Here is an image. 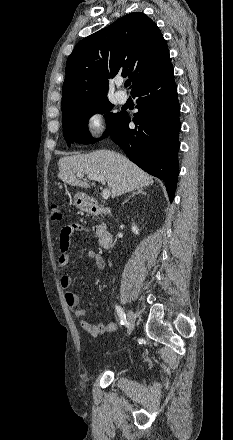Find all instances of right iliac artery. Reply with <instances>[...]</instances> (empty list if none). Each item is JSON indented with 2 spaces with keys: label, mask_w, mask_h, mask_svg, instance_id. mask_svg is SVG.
<instances>
[{
  "label": "right iliac artery",
  "mask_w": 233,
  "mask_h": 440,
  "mask_svg": "<svg viewBox=\"0 0 233 440\" xmlns=\"http://www.w3.org/2000/svg\"><path fill=\"white\" fill-rule=\"evenodd\" d=\"M116 311H117V314L120 318L121 324L124 325L126 323V315H125L123 309L120 306L116 305Z\"/></svg>",
  "instance_id": "82829eb1"
}]
</instances>
